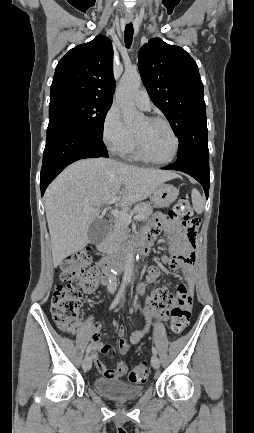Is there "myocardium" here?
Masks as SVG:
<instances>
[{
    "mask_svg": "<svg viewBox=\"0 0 254 433\" xmlns=\"http://www.w3.org/2000/svg\"><path fill=\"white\" fill-rule=\"evenodd\" d=\"M146 119L150 123L162 124V125H164L167 128V130L170 132V134L172 135V137L174 139V150H173L172 155L168 159H165V160H155V159L151 158L146 153V151H145V149H144V147H143V145H142L139 137L136 134H134L135 148H136V151H137L139 157L142 160H144V161H146L148 163H151V164H155V165L170 164L171 162H173L176 159V157H177V155L179 153V149H180V141H179V138H178L175 130L170 125V123L167 120L163 119V118H160V117H147Z\"/></svg>",
    "mask_w": 254,
    "mask_h": 433,
    "instance_id": "obj_1",
    "label": "myocardium"
}]
</instances>
